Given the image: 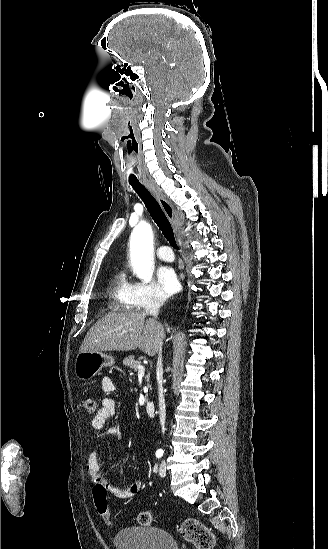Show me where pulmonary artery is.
I'll use <instances>...</instances> for the list:
<instances>
[{
  "mask_svg": "<svg viewBox=\"0 0 328 549\" xmlns=\"http://www.w3.org/2000/svg\"><path fill=\"white\" fill-rule=\"evenodd\" d=\"M156 255L159 259L164 261H172L174 259V255L170 251L163 250V249L158 250L156 252Z\"/></svg>",
  "mask_w": 328,
  "mask_h": 549,
  "instance_id": "obj_1",
  "label": "pulmonary artery"
}]
</instances>
